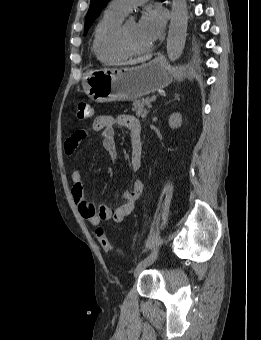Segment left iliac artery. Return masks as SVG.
I'll return each instance as SVG.
<instances>
[{"label": "left iliac artery", "instance_id": "left-iliac-artery-1", "mask_svg": "<svg viewBox=\"0 0 261 340\" xmlns=\"http://www.w3.org/2000/svg\"><path fill=\"white\" fill-rule=\"evenodd\" d=\"M157 255L158 249L154 248L147 256H145L143 259L139 261L138 265L153 262L157 258Z\"/></svg>", "mask_w": 261, "mask_h": 340}]
</instances>
